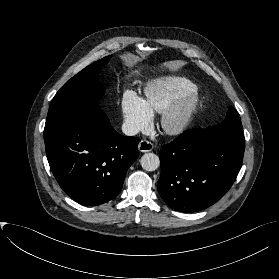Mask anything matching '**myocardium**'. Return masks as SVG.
<instances>
[{
    "instance_id": "myocardium-1",
    "label": "myocardium",
    "mask_w": 279,
    "mask_h": 279,
    "mask_svg": "<svg viewBox=\"0 0 279 279\" xmlns=\"http://www.w3.org/2000/svg\"><path fill=\"white\" fill-rule=\"evenodd\" d=\"M200 102L201 96L197 90L181 97L162 113L161 130L169 136L182 135L192 123Z\"/></svg>"
}]
</instances>
